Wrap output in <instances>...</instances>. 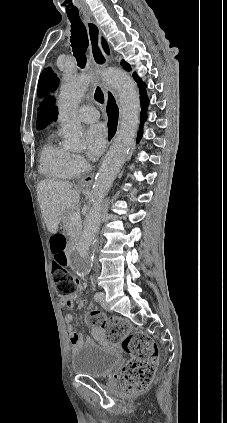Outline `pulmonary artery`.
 Wrapping results in <instances>:
<instances>
[{
	"mask_svg": "<svg viewBox=\"0 0 227 423\" xmlns=\"http://www.w3.org/2000/svg\"><path fill=\"white\" fill-rule=\"evenodd\" d=\"M77 118L80 122L94 124L99 121V112L91 105H83L78 110Z\"/></svg>",
	"mask_w": 227,
	"mask_h": 423,
	"instance_id": "1",
	"label": "pulmonary artery"
}]
</instances>
